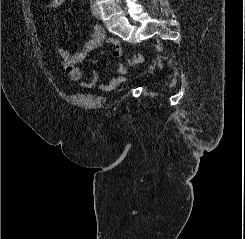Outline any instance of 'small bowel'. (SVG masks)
<instances>
[{"label":"small bowel","mask_w":245,"mask_h":239,"mask_svg":"<svg viewBox=\"0 0 245 239\" xmlns=\"http://www.w3.org/2000/svg\"><path fill=\"white\" fill-rule=\"evenodd\" d=\"M67 0H49L46 8L50 11L61 8L65 5ZM103 43H108L113 46V53L115 58L122 56V48L120 42L115 38H107L103 29L98 24H93L89 33L88 39L82 44L80 51L73 55L63 49H58V55L62 59V64L65 72L69 75L71 80L80 82L86 89H93L97 86L99 80V73L92 71L88 80L83 81V72L78 65L83 62L87 56ZM116 74L104 84H100L98 88L103 92H111L115 90L120 84L126 80L127 68L126 66L117 61L115 63Z\"/></svg>","instance_id":"small-bowel-1"}]
</instances>
